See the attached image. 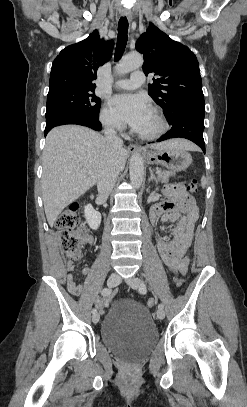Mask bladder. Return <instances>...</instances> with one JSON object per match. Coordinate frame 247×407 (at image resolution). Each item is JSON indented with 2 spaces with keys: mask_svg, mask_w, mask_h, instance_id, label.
<instances>
[{
  "mask_svg": "<svg viewBox=\"0 0 247 407\" xmlns=\"http://www.w3.org/2000/svg\"><path fill=\"white\" fill-rule=\"evenodd\" d=\"M158 337L148 309L130 299L111 304L101 325L102 343L129 362H138L149 354Z\"/></svg>",
  "mask_w": 247,
  "mask_h": 407,
  "instance_id": "31cf9c89",
  "label": "bladder"
}]
</instances>
